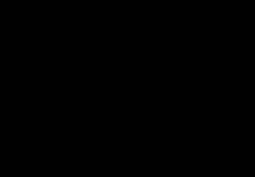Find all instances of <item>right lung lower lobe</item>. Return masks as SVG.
Returning a JSON list of instances; mask_svg holds the SVG:
<instances>
[{
	"instance_id": "right-lung-lower-lobe-1",
	"label": "right lung lower lobe",
	"mask_w": 255,
	"mask_h": 177,
	"mask_svg": "<svg viewBox=\"0 0 255 177\" xmlns=\"http://www.w3.org/2000/svg\"><path fill=\"white\" fill-rule=\"evenodd\" d=\"M103 113V110L96 109L86 114H71L66 117L64 126L65 128H72L74 132L80 135H85L92 129L95 121L103 116Z\"/></svg>"
}]
</instances>
